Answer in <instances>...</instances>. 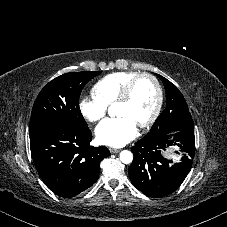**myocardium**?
<instances>
[{"label": "myocardium", "mask_w": 227, "mask_h": 227, "mask_svg": "<svg viewBox=\"0 0 227 227\" xmlns=\"http://www.w3.org/2000/svg\"><path fill=\"white\" fill-rule=\"evenodd\" d=\"M143 77L149 78L153 82L155 89H156L157 98H156V104H155L152 114L146 121H144L143 123H141L139 125V128H147V127L151 126L156 121V119L158 118L159 113L161 111L162 104H163V90H162V86H161L159 80L157 79V77L148 72H141V73L136 74L133 78H131L128 81V83L124 87L121 95L118 97V99L115 102V105L126 103L131 98L137 81Z\"/></svg>", "instance_id": "obj_1"}]
</instances>
